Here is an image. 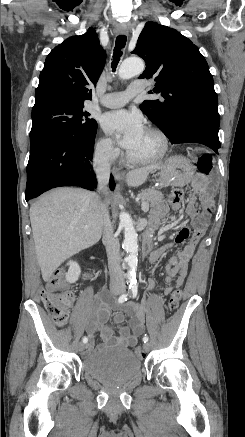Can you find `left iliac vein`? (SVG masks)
I'll use <instances>...</instances> for the list:
<instances>
[{
  "label": "left iliac vein",
  "mask_w": 245,
  "mask_h": 437,
  "mask_svg": "<svg viewBox=\"0 0 245 437\" xmlns=\"http://www.w3.org/2000/svg\"><path fill=\"white\" fill-rule=\"evenodd\" d=\"M143 348L145 351H149L150 350V345L148 343H144Z\"/></svg>",
  "instance_id": "left-iliac-vein-1"
}]
</instances>
